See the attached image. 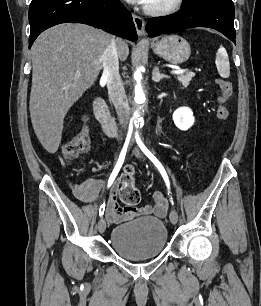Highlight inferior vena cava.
Here are the masks:
<instances>
[{"label": "inferior vena cava", "instance_id": "602c4592", "mask_svg": "<svg viewBox=\"0 0 261 306\" xmlns=\"http://www.w3.org/2000/svg\"><path fill=\"white\" fill-rule=\"evenodd\" d=\"M108 88L109 97L116 109L120 125H128L130 112L124 86L119 74L118 50L115 39H112L103 53V75Z\"/></svg>", "mask_w": 261, "mask_h": 306}]
</instances>
